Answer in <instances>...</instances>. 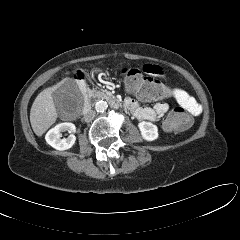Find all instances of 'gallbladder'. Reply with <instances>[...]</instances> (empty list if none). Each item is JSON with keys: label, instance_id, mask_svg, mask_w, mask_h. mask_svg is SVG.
I'll return each instance as SVG.
<instances>
[{"label": "gallbladder", "instance_id": "obj_1", "mask_svg": "<svg viewBox=\"0 0 240 240\" xmlns=\"http://www.w3.org/2000/svg\"><path fill=\"white\" fill-rule=\"evenodd\" d=\"M78 88L74 81L69 80L52 93L57 112L60 115L72 112L79 104L75 96Z\"/></svg>", "mask_w": 240, "mask_h": 240}]
</instances>
